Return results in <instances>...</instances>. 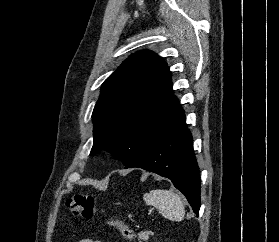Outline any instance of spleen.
<instances>
[{
  "instance_id": "3e777b00",
  "label": "spleen",
  "mask_w": 279,
  "mask_h": 242,
  "mask_svg": "<svg viewBox=\"0 0 279 242\" xmlns=\"http://www.w3.org/2000/svg\"><path fill=\"white\" fill-rule=\"evenodd\" d=\"M147 205H152L166 218L173 221H182L185 216V207L181 197L173 191L154 189L143 196Z\"/></svg>"
}]
</instances>
